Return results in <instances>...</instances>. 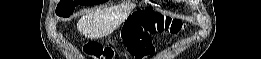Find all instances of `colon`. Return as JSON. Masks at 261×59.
<instances>
[{"label": "colon", "mask_w": 261, "mask_h": 59, "mask_svg": "<svg viewBox=\"0 0 261 59\" xmlns=\"http://www.w3.org/2000/svg\"><path fill=\"white\" fill-rule=\"evenodd\" d=\"M182 29V24L175 21H168L162 15L153 12H143L136 23L127 33L126 40L129 50L136 58L141 59L154 52L151 36L168 30L171 34H178ZM85 53L100 58L104 54L105 58H112L111 51H104L96 44H88Z\"/></svg>", "instance_id": "5ec220e1"}]
</instances>
